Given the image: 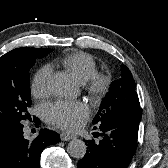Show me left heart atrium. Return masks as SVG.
Returning <instances> with one entry per match:
<instances>
[{"label": "left heart atrium", "instance_id": "left-heart-atrium-1", "mask_svg": "<svg viewBox=\"0 0 168 168\" xmlns=\"http://www.w3.org/2000/svg\"><path fill=\"white\" fill-rule=\"evenodd\" d=\"M45 115L49 123L73 132L83 126L90 111L83 102L58 101L48 105Z\"/></svg>", "mask_w": 168, "mask_h": 168}]
</instances>
